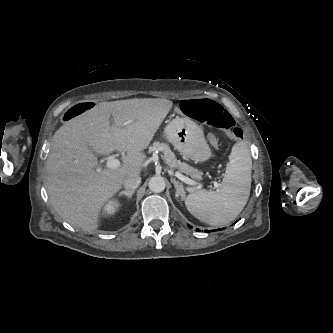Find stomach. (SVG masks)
Masks as SVG:
<instances>
[{
  "instance_id": "stomach-1",
  "label": "stomach",
  "mask_w": 333,
  "mask_h": 333,
  "mask_svg": "<svg viewBox=\"0 0 333 333\" xmlns=\"http://www.w3.org/2000/svg\"><path fill=\"white\" fill-rule=\"evenodd\" d=\"M189 117L176 116L164 129L166 139L186 159L203 163L213 157L203 130Z\"/></svg>"
}]
</instances>
